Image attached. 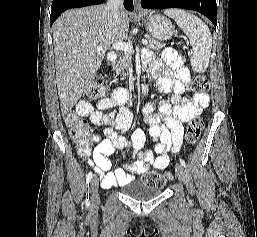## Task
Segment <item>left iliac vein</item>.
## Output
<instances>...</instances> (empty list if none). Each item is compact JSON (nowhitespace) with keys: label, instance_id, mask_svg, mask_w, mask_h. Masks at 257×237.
Here are the masks:
<instances>
[{"label":"left iliac vein","instance_id":"left-iliac-vein-1","mask_svg":"<svg viewBox=\"0 0 257 237\" xmlns=\"http://www.w3.org/2000/svg\"><path fill=\"white\" fill-rule=\"evenodd\" d=\"M176 175L181 182H185L187 178V173L184 167L181 164H176L175 166Z\"/></svg>","mask_w":257,"mask_h":237}]
</instances>
